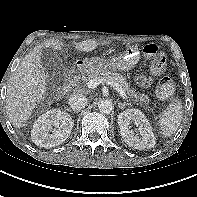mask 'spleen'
<instances>
[{"label": "spleen", "mask_w": 197, "mask_h": 197, "mask_svg": "<svg viewBox=\"0 0 197 197\" xmlns=\"http://www.w3.org/2000/svg\"><path fill=\"white\" fill-rule=\"evenodd\" d=\"M182 113V103L178 98H175L160 114L159 123L164 136L169 137L178 129Z\"/></svg>", "instance_id": "1"}]
</instances>
